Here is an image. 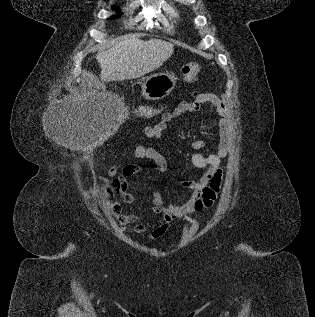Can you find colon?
Here are the masks:
<instances>
[{
	"mask_svg": "<svg viewBox=\"0 0 315 317\" xmlns=\"http://www.w3.org/2000/svg\"><path fill=\"white\" fill-rule=\"evenodd\" d=\"M200 71H201V66L196 62H192V63H189L188 65H186L182 71L184 82L189 83V82L193 81L196 78V76L199 74ZM158 112H159L158 107L150 106V107L144 108L140 112V114L143 117H151V116H154L155 114H157ZM116 185H117V183H116ZM117 187H118V185H117ZM112 211L114 214H116L118 211V205L114 204L112 207Z\"/></svg>",
	"mask_w": 315,
	"mask_h": 317,
	"instance_id": "5ec220e1",
	"label": "colon"
}]
</instances>
